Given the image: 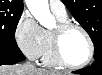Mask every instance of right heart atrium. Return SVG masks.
<instances>
[{
    "mask_svg": "<svg viewBox=\"0 0 102 75\" xmlns=\"http://www.w3.org/2000/svg\"><path fill=\"white\" fill-rule=\"evenodd\" d=\"M14 36L18 46L29 59L37 60L42 56L44 48L43 31L28 12H24L20 16L15 26Z\"/></svg>",
    "mask_w": 102,
    "mask_h": 75,
    "instance_id": "obj_1",
    "label": "right heart atrium"
}]
</instances>
